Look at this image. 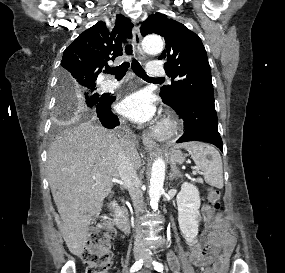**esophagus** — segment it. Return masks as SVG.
<instances>
[{
    "label": "esophagus",
    "mask_w": 285,
    "mask_h": 273,
    "mask_svg": "<svg viewBox=\"0 0 285 273\" xmlns=\"http://www.w3.org/2000/svg\"><path fill=\"white\" fill-rule=\"evenodd\" d=\"M134 23V28H133V43H134V48L135 51L137 52L138 56L140 57V59H142L143 61L146 60V55L144 54L142 47H141V34H140V29L139 27L136 25L135 22ZM142 141L143 144L145 146L146 149L148 150H153L155 148V142L149 138L146 135H143L142 137Z\"/></svg>",
    "instance_id": "obj_1"
}]
</instances>
